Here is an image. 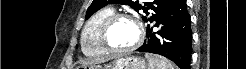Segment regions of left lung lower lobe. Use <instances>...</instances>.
<instances>
[{
	"mask_svg": "<svg viewBox=\"0 0 246 69\" xmlns=\"http://www.w3.org/2000/svg\"><path fill=\"white\" fill-rule=\"evenodd\" d=\"M149 26L147 38L136 51L162 55L180 69H190L192 31L185 0H173L169 7ZM154 27H159L153 32Z\"/></svg>",
	"mask_w": 246,
	"mask_h": 69,
	"instance_id": "0a47b994",
	"label": "left lung lower lobe"
}]
</instances>
